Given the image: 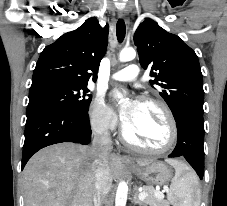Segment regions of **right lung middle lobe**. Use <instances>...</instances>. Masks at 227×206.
I'll use <instances>...</instances> for the list:
<instances>
[{
	"instance_id": "right-lung-middle-lobe-1",
	"label": "right lung middle lobe",
	"mask_w": 227,
	"mask_h": 206,
	"mask_svg": "<svg viewBox=\"0 0 227 206\" xmlns=\"http://www.w3.org/2000/svg\"><path fill=\"white\" fill-rule=\"evenodd\" d=\"M88 92L89 89L86 85L59 80H43L32 83L27 114L43 108L85 113L91 102V95H88Z\"/></svg>"
}]
</instances>
